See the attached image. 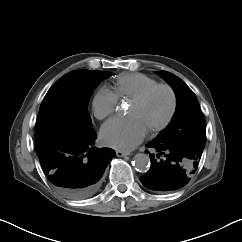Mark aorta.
<instances>
[{"label": "aorta", "mask_w": 242, "mask_h": 242, "mask_svg": "<svg viewBox=\"0 0 242 242\" xmlns=\"http://www.w3.org/2000/svg\"><path fill=\"white\" fill-rule=\"evenodd\" d=\"M133 164L140 172H146L150 167V158L147 154L138 153L134 156Z\"/></svg>", "instance_id": "1"}]
</instances>
